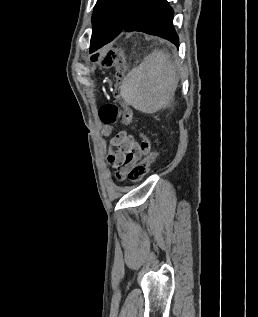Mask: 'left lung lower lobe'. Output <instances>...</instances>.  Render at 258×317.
I'll return each instance as SVG.
<instances>
[{
    "mask_svg": "<svg viewBox=\"0 0 258 317\" xmlns=\"http://www.w3.org/2000/svg\"><path fill=\"white\" fill-rule=\"evenodd\" d=\"M173 9L167 0H131L123 25L119 28L93 29L90 53L112 41L122 31H139L162 37L179 47V39L173 28Z\"/></svg>",
    "mask_w": 258,
    "mask_h": 317,
    "instance_id": "0a47b994",
    "label": "left lung lower lobe"
}]
</instances>
